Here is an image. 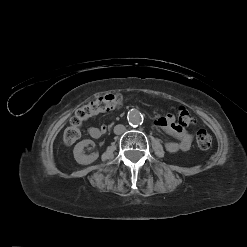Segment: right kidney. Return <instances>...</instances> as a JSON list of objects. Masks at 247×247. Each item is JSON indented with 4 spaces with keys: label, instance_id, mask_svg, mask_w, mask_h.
<instances>
[{
    "label": "right kidney",
    "instance_id": "1",
    "mask_svg": "<svg viewBox=\"0 0 247 247\" xmlns=\"http://www.w3.org/2000/svg\"><path fill=\"white\" fill-rule=\"evenodd\" d=\"M89 144H93V141L90 139H86L80 141L75 145L73 153L77 163L82 165H88L93 163L98 158V153H92L91 155H85L83 153L84 147L88 146Z\"/></svg>",
    "mask_w": 247,
    "mask_h": 247
}]
</instances>
